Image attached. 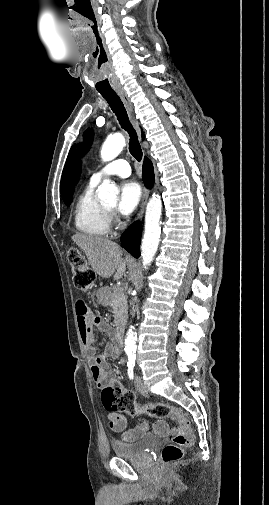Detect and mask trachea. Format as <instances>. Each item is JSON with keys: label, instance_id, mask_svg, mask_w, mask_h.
<instances>
[{"label": "trachea", "instance_id": "obj_1", "mask_svg": "<svg viewBox=\"0 0 269 505\" xmlns=\"http://www.w3.org/2000/svg\"><path fill=\"white\" fill-rule=\"evenodd\" d=\"M106 99L112 111L115 113L121 127L129 134V151L131 155L140 162L142 159V149L138 141L137 134L129 121L127 111L120 97L114 91L100 92Z\"/></svg>", "mask_w": 269, "mask_h": 505}]
</instances>
